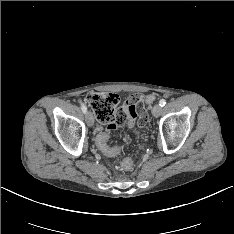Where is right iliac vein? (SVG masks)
<instances>
[{"label": "right iliac vein", "mask_w": 234, "mask_h": 234, "mask_svg": "<svg viewBox=\"0 0 234 234\" xmlns=\"http://www.w3.org/2000/svg\"><path fill=\"white\" fill-rule=\"evenodd\" d=\"M86 122L88 124V126L92 127L94 124V118L92 116V114L89 111H86Z\"/></svg>", "instance_id": "63e3f726"}]
</instances>
